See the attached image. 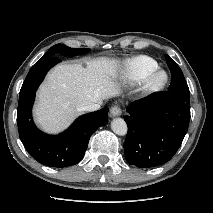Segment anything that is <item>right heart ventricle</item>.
Instances as JSON below:
<instances>
[{
  "instance_id": "right-heart-ventricle-1",
  "label": "right heart ventricle",
  "mask_w": 213,
  "mask_h": 213,
  "mask_svg": "<svg viewBox=\"0 0 213 213\" xmlns=\"http://www.w3.org/2000/svg\"><path fill=\"white\" fill-rule=\"evenodd\" d=\"M158 69V63L153 58L145 55L127 60L124 64L123 79L129 83H137Z\"/></svg>"
}]
</instances>
